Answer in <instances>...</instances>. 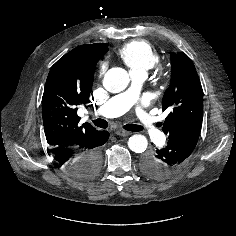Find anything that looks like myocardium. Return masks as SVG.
Instances as JSON below:
<instances>
[{
	"instance_id": "1",
	"label": "myocardium",
	"mask_w": 236,
	"mask_h": 236,
	"mask_svg": "<svg viewBox=\"0 0 236 236\" xmlns=\"http://www.w3.org/2000/svg\"><path fill=\"white\" fill-rule=\"evenodd\" d=\"M160 73L163 74L164 73V70L163 68L160 69Z\"/></svg>"
}]
</instances>
